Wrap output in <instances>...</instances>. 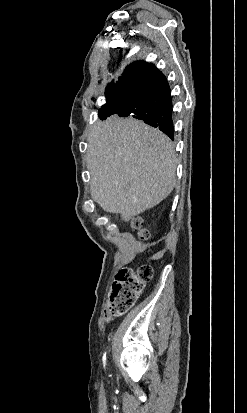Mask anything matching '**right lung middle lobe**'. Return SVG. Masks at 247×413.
Segmentation results:
<instances>
[{"label":"right lung middle lobe","instance_id":"right-lung-middle-lobe-1","mask_svg":"<svg viewBox=\"0 0 247 413\" xmlns=\"http://www.w3.org/2000/svg\"><path fill=\"white\" fill-rule=\"evenodd\" d=\"M107 99L116 97L121 99H134L136 96L135 88L129 84L128 82L125 83H116V84H108L106 88Z\"/></svg>","mask_w":247,"mask_h":413}]
</instances>
